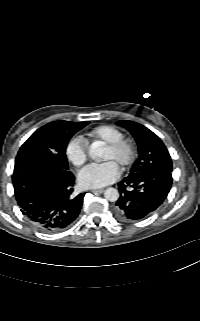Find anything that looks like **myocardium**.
<instances>
[{
    "label": "myocardium",
    "mask_w": 200,
    "mask_h": 321,
    "mask_svg": "<svg viewBox=\"0 0 200 321\" xmlns=\"http://www.w3.org/2000/svg\"><path fill=\"white\" fill-rule=\"evenodd\" d=\"M106 148L113 153H117L122 149L126 150V156L119 165L122 169L130 167L135 161L137 149L135 143L131 139L125 137L119 138L111 143H108Z\"/></svg>",
    "instance_id": "obj_1"
}]
</instances>
